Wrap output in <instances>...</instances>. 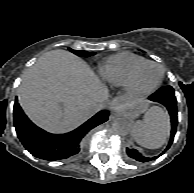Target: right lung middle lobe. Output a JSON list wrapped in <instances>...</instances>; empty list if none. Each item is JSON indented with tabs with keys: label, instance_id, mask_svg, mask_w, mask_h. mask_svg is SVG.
<instances>
[{
	"label": "right lung middle lobe",
	"instance_id": "right-lung-middle-lobe-1",
	"mask_svg": "<svg viewBox=\"0 0 194 193\" xmlns=\"http://www.w3.org/2000/svg\"><path fill=\"white\" fill-rule=\"evenodd\" d=\"M70 51H72L74 54L78 56H83V57H88V56L95 54V52L77 51V50H72V49H70Z\"/></svg>",
	"mask_w": 194,
	"mask_h": 193
}]
</instances>
